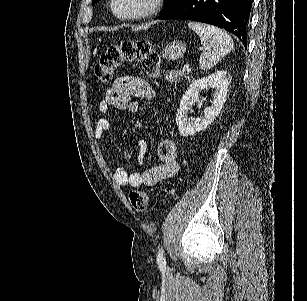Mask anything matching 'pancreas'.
I'll use <instances>...</instances> for the list:
<instances>
[{"instance_id": "pancreas-1", "label": "pancreas", "mask_w": 307, "mask_h": 301, "mask_svg": "<svg viewBox=\"0 0 307 301\" xmlns=\"http://www.w3.org/2000/svg\"><path fill=\"white\" fill-rule=\"evenodd\" d=\"M189 72H186V70H166L165 72V80H170V82H175V84H178V80H180L181 76L182 78H189V80H192V76H187Z\"/></svg>"}]
</instances>
